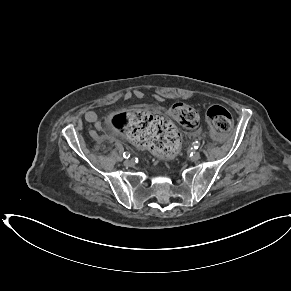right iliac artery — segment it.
Wrapping results in <instances>:
<instances>
[{
	"label": "right iliac artery",
	"mask_w": 291,
	"mask_h": 291,
	"mask_svg": "<svg viewBox=\"0 0 291 291\" xmlns=\"http://www.w3.org/2000/svg\"><path fill=\"white\" fill-rule=\"evenodd\" d=\"M123 157H124V158H129V157H130V153H128V152H124V153H123Z\"/></svg>",
	"instance_id": "1"
}]
</instances>
